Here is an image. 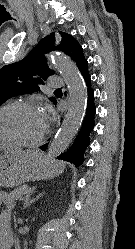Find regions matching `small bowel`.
Returning a JSON list of instances; mask_svg holds the SVG:
<instances>
[{"label":"small bowel","instance_id":"1","mask_svg":"<svg viewBox=\"0 0 135 249\" xmlns=\"http://www.w3.org/2000/svg\"><path fill=\"white\" fill-rule=\"evenodd\" d=\"M10 218L11 214L9 210L3 211L0 215V249H2V245L6 239L11 236Z\"/></svg>","mask_w":135,"mask_h":249}]
</instances>
